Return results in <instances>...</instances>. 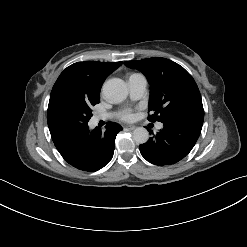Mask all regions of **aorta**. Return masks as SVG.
<instances>
[{
	"label": "aorta",
	"mask_w": 247,
	"mask_h": 247,
	"mask_svg": "<svg viewBox=\"0 0 247 247\" xmlns=\"http://www.w3.org/2000/svg\"><path fill=\"white\" fill-rule=\"evenodd\" d=\"M103 95L112 102L123 101L128 95L126 83L120 78H111L103 85ZM149 132L144 127H138L133 131V139L138 144L148 141Z\"/></svg>",
	"instance_id": "762f6f07"
}]
</instances>
